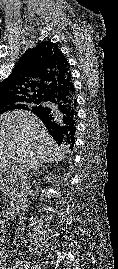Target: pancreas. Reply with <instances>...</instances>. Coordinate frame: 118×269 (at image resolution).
<instances>
[{
    "label": "pancreas",
    "mask_w": 118,
    "mask_h": 269,
    "mask_svg": "<svg viewBox=\"0 0 118 269\" xmlns=\"http://www.w3.org/2000/svg\"><path fill=\"white\" fill-rule=\"evenodd\" d=\"M5 185H6L5 182H0V190L7 189V187Z\"/></svg>",
    "instance_id": "1"
}]
</instances>
